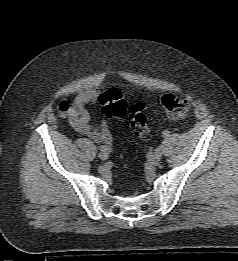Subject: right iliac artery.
<instances>
[{
  "mask_svg": "<svg viewBox=\"0 0 238 261\" xmlns=\"http://www.w3.org/2000/svg\"><path fill=\"white\" fill-rule=\"evenodd\" d=\"M101 151H105L106 153L111 152V149L108 146L102 145L99 147Z\"/></svg>",
  "mask_w": 238,
  "mask_h": 261,
  "instance_id": "right-iliac-artery-1",
  "label": "right iliac artery"
}]
</instances>
